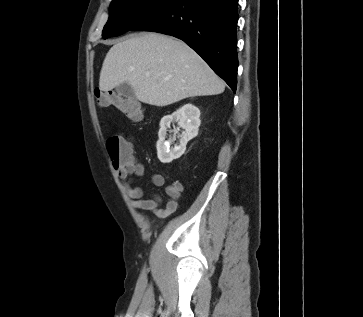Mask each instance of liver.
Wrapping results in <instances>:
<instances>
[{
  "label": "liver",
  "mask_w": 363,
  "mask_h": 317,
  "mask_svg": "<svg viewBox=\"0 0 363 317\" xmlns=\"http://www.w3.org/2000/svg\"><path fill=\"white\" fill-rule=\"evenodd\" d=\"M125 82L139 101L161 107L225 89L223 81L186 43L153 32L130 35L108 51L100 89L109 91Z\"/></svg>",
  "instance_id": "liver-1"
}]
</instances>
